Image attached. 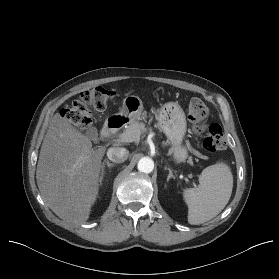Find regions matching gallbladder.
Here are the masks:
<instances>
[{
	"label": "gallbladder",
	"instance_id": "1",
	"mask_svg": "<svg viewBox=\"0 0 279 279\" xmlns=\"http://www.w3.org/2000/svg\"><path fill=\"white\" fill-rule=\"evenodd\" d=\"M86 135L87 137H89L90 139H95L98 136V132L97 129L95 127H91L86 131Z\"/></svg>",
	"mask_w": 279,
	"mask_h": 279
}]
</instances>
